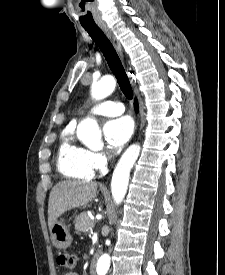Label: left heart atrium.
<instances>
[{"instance_id":"left-heart-atrium-1","label":"left heart atrium","mask_w":225,"mask_h":275,"mask_svg":"<svg viewBox=\"0 0 225 275\" xmlns=\"http://www.w3.org/2000/svg\"><path fill=\"white\" fill-rule=\"evenodd\" d=\"M104 136L113 151H118L127 143L133 133V123L129 117H119L108 121L103 129Z\"/></svg>"}]
</instances>
